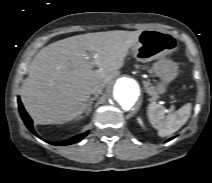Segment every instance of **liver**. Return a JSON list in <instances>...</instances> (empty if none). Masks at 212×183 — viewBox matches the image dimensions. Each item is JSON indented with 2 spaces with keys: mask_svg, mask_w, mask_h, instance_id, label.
Listing matches in <instances>:
<instances>
[{
  "mask_svg": "<svg viewBox=\"0 0 212 183\" xmlns=\"http://www.w3.org/2000/svg\"><path fill=\"white\" fill-rule=\"evenodd\" d=\"M142 30L106 31L65 38L43 47L33 58L21 96L38 124H64L86 111L91 91L106 86L124 66ZM97 57L93 70L86 53Z\"/></svg>",
  "mask_w": 212,
  "mask_h": 183,
  "instance_id": "1",
  "label": "liver"
}]
</instances>
